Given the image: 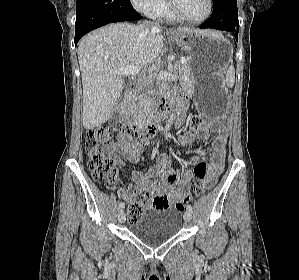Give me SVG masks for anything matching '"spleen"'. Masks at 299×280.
Instances as JSON below:
<instances>
[{"label": "spleen", "mask_w": 299, "mask_h": 280, "mask_svg": "<svg viewBox=\"0 0 299 280\" xmlns=\"http://www.w3.org/2000/svg\"><path fill=\"white\" fill-rule=\"evenodd\" d=\"M235 83V68L233 65H230L226 73V84L228 87H233Z\"/></svg>", "instance_id": "1"}]
</instances>
